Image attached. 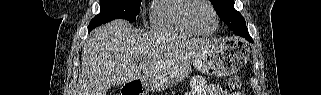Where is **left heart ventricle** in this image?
Segmentation results:
<instances>
[{
    "label": "left heart ventricle",
    "instance_id": "left-heart-ventricle-1",
    "mask_svg": "<svg viewBox=\"0 0 321 95\" xmlns=\"http://www.w3.org/2000/svg\"><path fill=\"white\" fill-rule=\"evenodd\" d=\"M193 19L204 32L212 30L214 22L211 10L204 4H198L193 10Z\"/></svg>",
    "mask_w": 321,
    "mask_h": 95
}]
</instances>
